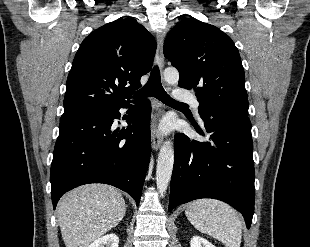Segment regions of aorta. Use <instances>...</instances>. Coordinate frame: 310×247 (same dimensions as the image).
<instances>
[{"instance_id": "aorta-1", "label": "aorta", "mask_w": 310, "mask_h": 247, "mask_svg": "<svg viewBox=\"0 0 310 247\" xmlns=\"http://www.w3.org/2000/svg\"><path fill=\"white\" fill-rule=\"evenodd\" d=\"M164 79L169 84H176L179 80V73L175 68H166L164 71ZM174 164V149L172 142L163 143L156 167V185L158 192L163 196L168 188Z\"/></svg>"}]
</instances>
